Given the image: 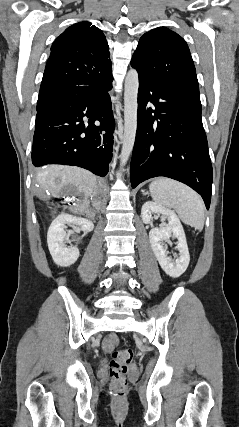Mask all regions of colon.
I'll use <instances>...</instances> for the list:
<instances>
[{
  "instance_id": "obj_1",
  "label": "colon",
  "mask_w": 239,
  "mask_h": 427,
  "mask_svg": "<svg viewBox=\"0 0 239 427\" xmlns=\"http://www.w3.org/2000/svg\"><path fill=\"white\" fill-rule=\"evenodd\" d=\"M133 350L130 348L112 352L109 364V373L112 379L113 393L123 397L127 390V374L133 360Z\"/></svg>"
}]
</instances>
